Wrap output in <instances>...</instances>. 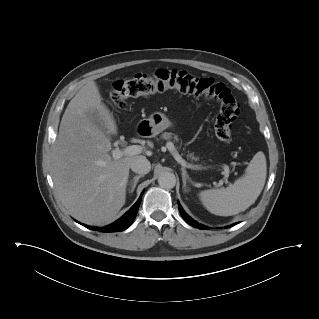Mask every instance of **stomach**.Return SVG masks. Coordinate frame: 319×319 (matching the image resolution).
I'll use <instances>...</instances> for the list:
<instances>
[{
	"instance_id": "1",
	"label": "stomach",
	"mask_w": 319,
	"mask_h": 319,
	"mask_svg": "<svg viewBox=\"0 0 319 319\" xmlns=\"http://www.w3.org/2000/svg\"><path fill=\"white\" fill-rule=\"evenodd\" d=\"M146 121L152 135H157L172 126V122L161 112L152 113Z\"/></svg>"
}]
</instances>
